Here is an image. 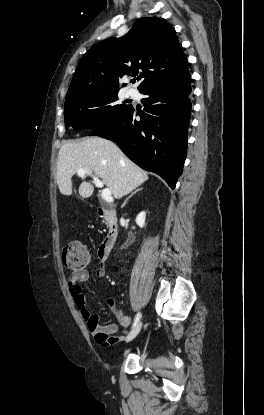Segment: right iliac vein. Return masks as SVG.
Masks as SVG:
<instances>
[{"label": "right iliac vein", "mask_w": 264, "mask_h": 415, "mask_svg": "<svg viewBox=\"0 0 264 415\" xmlns=\"http://www.w3.org/2000/svg\"><path fill=\"white\" fill-rule=\"evenodd\" d=\"M142 328V322H139L132 331L127 335L126 342L133 340L140 332Z\"/></svg>", "instance_id": "63e3f726"}]
</instances>
